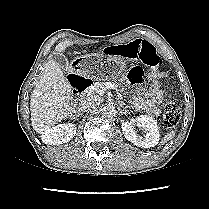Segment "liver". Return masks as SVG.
<instances>
[{
	"label": "liver",
	"mask_w": 209,
	"mask_h": 209,
	"mask_svg": "<svg viewBox=\"0 0 209 209\" xmlns=\"http://www.w3.org/2000/svg\"><path fill=\"white\" fill-rule=\"evenodd\" d=\"M72 41H64L55 47V53L63 52ZM71 85L64 76L61 66L52 57L44 65L30 102L32 127L37 133H43L56 123L65 120L76 112L70 103Z\"/></svg>",
	"instance_id": "6515ba94"
}]
</instances>
